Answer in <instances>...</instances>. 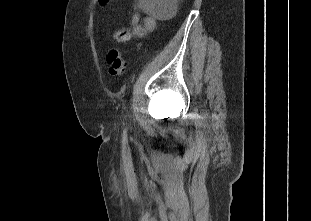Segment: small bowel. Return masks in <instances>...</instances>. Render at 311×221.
<instances>
[{"label":"small bowel","mask_w":311,"mask_h":221,"mask_svg":"<svg viewBox=\"0 0 311 221\" xmlns=\"http://www.w3.org/2000/svg\"><path fill=\"white\" fill-rule=\"evenodd\" d=\"M131 32L134 36H143L156 27V19L151 16L141 17L139 14H133L130 19Z\"/></svg>","instance_id":"obj_1"}]
</instances>
